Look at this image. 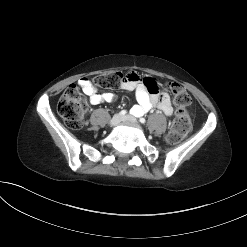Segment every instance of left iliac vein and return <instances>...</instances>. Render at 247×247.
<instances>
[{
  "instance_id": "left-iliac-vein-1",
  "label": "left iliac vein",
  "mask_w": 247,
  "mask_h": 247,
  "mask_svg": "<svg viewBox=\"0 0 247 247\" xmlns=\"http://www.w3.org/2000/svg\"><path fill=\"white\" fill-rule=\"evenodd\" d=\"M122 121H130V122H133V123L137 122L136 118L133 117L132 115L123 116L122 117Z\"/></svg>"
}]
</instances>
